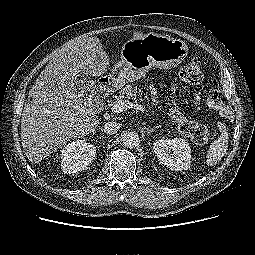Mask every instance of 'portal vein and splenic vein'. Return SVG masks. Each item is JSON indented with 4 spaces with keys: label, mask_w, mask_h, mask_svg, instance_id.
Listing matches in <instances>:
<instances>
[{
    "label": "portal vein and splenic vein",
    "mask_w": 255,
    "mask_h": 255,
    "mask_svg": "<svg viewBox=\"0 0 255 255\" xmlns=\"http://www.w3.org/2000/svg\"><path fill=\"white\" fill-rule=\"evenodd\" d=\"M134 108L142 112L145 111V108L139 104H132L129 100H119L115 104L111 105V110L114 113H121L127 109Z\"/></svg>",
    "instance_id": "obj_1"
}]
</instances>
